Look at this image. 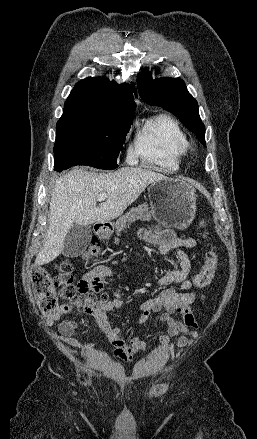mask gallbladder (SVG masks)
<instances>
[{"mask_svg": "<svg viewBox=\"0 0 257 439\" xmlns=\"http://www.w3.org/2000/svg\"><path fill=\"white\" fill-rule=\"evenodd\" d=\"M91 237L92 231L89 225L74 224L65 237L63 255L66 257L81 255L89 245Z\"/></svg>", "mask_w": 257, "mask_h": 439, "instance_id": "1", "label": "gallbladder"}]
</instances>
